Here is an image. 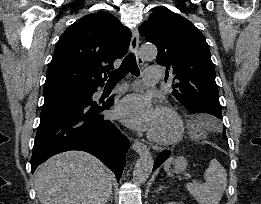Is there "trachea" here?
<instances>
[{
    "mask_svg": "<svg viewBox=\"0 0 261 204\" xmlns=\"http://www.w3.org/2000/svg\"><path fill=\"white\" fill-rule=\"evenodd\" d=\"M131 73L134 76L140 75V70L136 63V57L133 53L127 55L123 60L121 66L111 71L109 75L108 84H117L122 78H124L128 73Z\"/></svg>",
    "mask_w": 261,
    "mask_h": 204,
    "instance_id": "trachea-1",
    "label": "trachea"
}]
</instances>
